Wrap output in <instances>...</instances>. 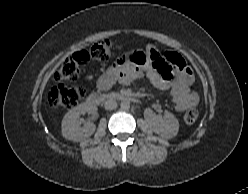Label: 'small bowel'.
<instances>
[{
    "instance_id": "c3829d8e",
    "label": "small bowel",
    "mask_w": 248,
    "mask_h": 194,
    "mask_svg": "<svg viewBox=\"0 0 248 194\" xmlns=\"http://www.w3.org/2000/svg\"><path fill=\"white\" fill-rule=\"evenodd\" d=\"M154 51L157 50L148 45L147 52L139 55L132 64L121 61L113 65L98 79L97 88L107 90L117 81L130 83L146 77L157 88L170 90L177 111L182 112L195 107L199 97L190 88L194 80L192 69L174 52L159 54L162 63L157 64L151 59V53Z\"/></svg>"
}]
</instances>
